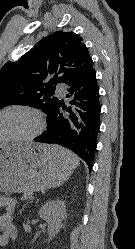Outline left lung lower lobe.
<instances>
[{
    "instance_id": "1",
    "label": "left lung lower lobe",
    "mask_w": 135,
    "mask_h": 249,
    "mask_svg": "<svg viewBox=\"0 0 135 249\" xmlns=\"http://www.w3.org/2000/svg\"><path fill=\"white\" fill-rule=\"evenodd\" d=\"M71 106L58 101L49 113L48 129L37 142L64 146L82 158L91 170L100 128L101 105L96 73L92 64L78 79L67 84ZM65 110V112L62 111Z\"/></svg>"
}]
</instances>
